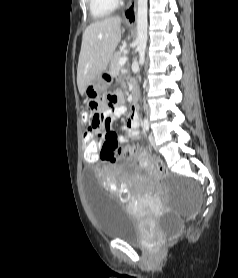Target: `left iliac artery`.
I'll list each match as a JSON object with an SVG mask.
<instances>
[{"mask_svg": "<svg viewBox=\"0 0 238 278\" xmlns=\"http://www.w3.org/2000/svg\"><path fill=\"white\" fill-rule=\"evenodd\" d=\"M143 126H144V129L146 131L149 130V123H148V120L146 118H144V120H143Z\"/></svg>", "mask_w": 238, "mask_h": 278, "instance_id": "left-iliac-artery-1", "label": "left iliac artery"}]
</instances>
